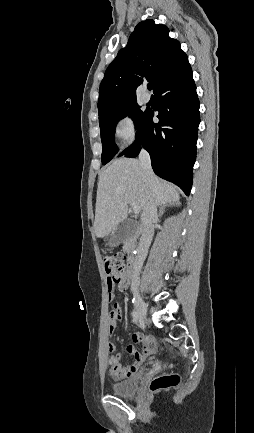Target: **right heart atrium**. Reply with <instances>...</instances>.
Masks as SVG:
<instances>
[{
    "label": "right heart atrium",
    "instance_id": "obj_1",
    "mask_svg": "<svg viewBox=\"0 0 254 433\" xmlns=\"http://www.w3.org/2000/svg\"><path fill=\"white\" fill-rule=\"evenodd\" d=\"M114 135L122 148L131 146L137 137V124L131 115L120 116L114 126Z\"/></svg>",
    "mask_w": 254,
    "mask_h": 433
}]
</instances>
